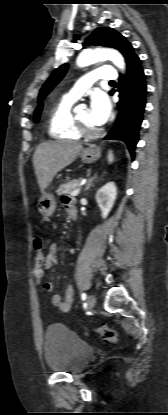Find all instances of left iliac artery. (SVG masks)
<instances>
[{"instance_id": "1", "label": "left iliac artery", "mask_w": 168, "mask_h": 415, "mask_svg": "<svg viewBox=\"0 0 168 415\" xmlns=\"http://www.w3.org/2000/svg\"><path fill=\"white\" fill-rule=\"evenodd\" d=\"M86 297H87V296H86V293H82V295H81V299H82V300H86Z\"/></svg>"}]
</instances>
